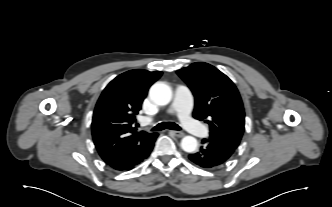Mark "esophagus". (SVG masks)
<instances>
[{
    "instance_id": "1",
    "label": "esophagus",
    "mask_w": 332,
    "mask_h": 207,
    "mask_svg": "<svg viewBox=\"0 0 332 207\" xmlns=\"http://www.w3.org/2000/svg\"><path fill=\"white\" fill-rule=\"evenodd\" d=\"M170 132L173 133V135L178 137V138H181L185 135L183 132H180V131H172L171 130Z\"/></svg>"
}]
</instances>
